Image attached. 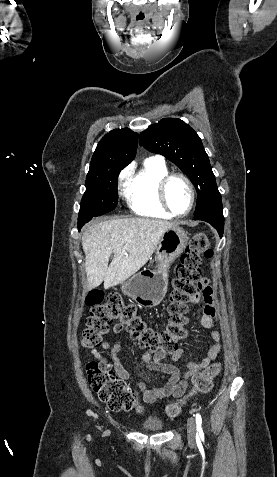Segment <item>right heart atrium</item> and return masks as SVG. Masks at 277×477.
Listing matches in <instances>:
<instances>
[{"label": "right heart atrium", "mask_w": 277, "mask_h": 477, "mask_svg": "<svg viewBox=\"0 0 277 477\" xmlns=\"http://www.w3.org/2000/svg\"><path fill=\"white\" fill-rule=\"evenodd\" d=\"M129 178V168L124 169L119 175V184L125 187Z\"/></svg>", "instance_id": "obj_1"}]
</instances>
